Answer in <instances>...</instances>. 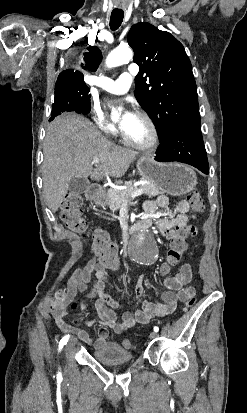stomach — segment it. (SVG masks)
Masks as SVG:
<instances>
[{"mask_svg": "<svg viewBox=\"0 0 247 413\" xmlns=\"http://www.w3.org/2000/svg\"><path fill=\"white\" fill-rule=\"evenodd\" d=\"M138 172L142 178L149 180L160 188L162 192L181 196L194 190L197 184V176L192 166L182 164V162H157L154 156L144 154L137 160ZM95 204H109V198L105 192H97Z\"/></svg>", "mask_w": 247, "mask_h": 413, "instance_id": "obj_1", "label": "stomach"}]
</instances>
